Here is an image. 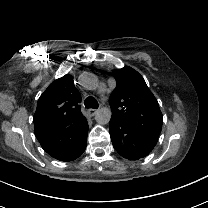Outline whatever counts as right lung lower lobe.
<instances>
[{"instance_id":"obj_1","label":"right lung lower lobe","mask_w":208,"mask_h":208,"mask_svg":"<svg viewBox=\"0 0 208 208\" xmlns=\"http://www.w3.org/2000/svg\"><path fill=\"white\" fill-rule=\"evenodd\" d=\"M88 123L85 117L56 132L36 135L44 151L60 161H73L86 149Z\"/></svg>"}]
</instances>
